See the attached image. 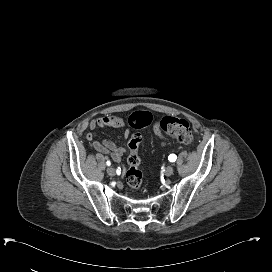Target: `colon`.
Listing matches in <instances>:
<instances>
[{
  "mask_svg": "<svg viewBox=\"0 0 272 272\" xmlns=\"http://www.w3.org/2000/svg\"><path fill=\"white\" fill-rule=\"evenodd\" d=\"M149 122L150 116L145 113H133L128 118L129 125L134 129H141L148 125ZM159 127L183 144H190L193 140L191 127L183 118L166 116L160 121ZM141 141V134L138 132L133 133L129 140V149L138 148ZM128 164L129 169L126 172L127 184L133 189H138L142 183V173L134 157L129 156Z\"/></svg>",
  "mask_w": 272,
  "mask_h": 272,
  "instance_id": "colon-1",
  "label": "colon"
}]
</instances>
